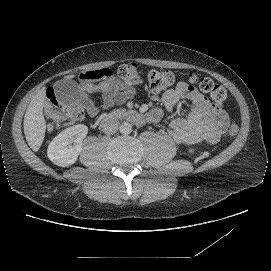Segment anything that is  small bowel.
<instances>
[{
	"instance_id": "1",
	"label": "small bowel",
	"mask_w": 271,
	"mask_h": 271,
	"mask_svg": "<svg viewBox=\"0 0 271 271\" xmlns=\"http://www.w3.org/2000/svg\"><path fill=\"white\" fill-rule=\"evenodd\" d=\"M79 77L82 81L79 87L80 102L90 115H95L98 109L90 101L89 94L100 92L105 110L130 100L135 94L133 88L124 86L109 69L84 71ZM160 100L171 113L182 100L189 103L190 111L186 117H173L168 123V132L177 143H215L228 127L229 119L221 105L209 101L189 84L178 83L175 88L165 91ZM148 119L152 123L159 122L162 112L152 109Z\"/></svg>"
}]
</instances>
